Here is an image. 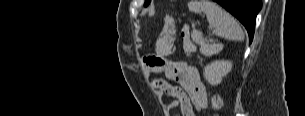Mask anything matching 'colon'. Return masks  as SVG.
I'll return each mask as SVG.
<instances>
[{"label": "colon", "instance_id": "5ec220e1", "mask_svg": "<svg viewBox=\"0 0 305 116\" xmlns=\"http://www.w3.org/2000/svg\"><path fill=\"white\" fill-rule=\"evenodd\" d=\"M211 106H212V108H213V110L215 112L220 110V108L222 106V103H221V100H220V98L218 96H216V95L212 96V98H211Z\"/></svg>", "mask_w": 305, "mask_h": 116}]
</instances>
